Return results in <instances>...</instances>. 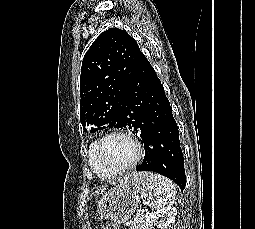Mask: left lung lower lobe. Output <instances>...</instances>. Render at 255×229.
Instances as JSON below:
<instances>
[{"label":"left lung lower lobe","mask_w":255,"mask_h":229,"mask_svg":"<svg viewBox=\"0 0 255 229\" xmlns=\"http://www.w3.org/2000/svg\"><path fill=\"white\" fill-rule=\"evenodd\" d=\"M123 121L141 138L145 156L137 171H153L184 189L186 176L172 108L154 68L141 55L124 94Z\"/></svg>","instance_id":"obj_1"}]
</instances>
